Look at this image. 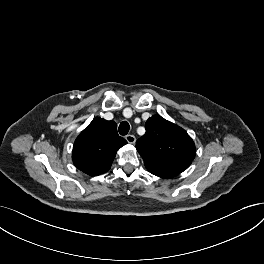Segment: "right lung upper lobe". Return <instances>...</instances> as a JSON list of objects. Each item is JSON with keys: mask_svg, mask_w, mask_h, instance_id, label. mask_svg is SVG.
I'll list each match as a JSON object with an SVG mask.
<instances>
[{"mask_svg": "<svg viewBox=\"0 0 264 264\" xmlns=\"http://www.w3.org/2000/svg\"><path fill=\"white\" fill-rule=\"evenodd\" d=\"M126 143L118 135L115 122L95 118L75 140L73 163L91 176L105 173L110 169L116 152Z\"/></svg>", "mask_w": 264, "mask_h": 264, "instance_id": "cb5924a9", "label": "right lung upper lobe"}]
</instances>
